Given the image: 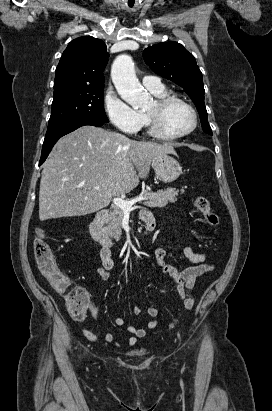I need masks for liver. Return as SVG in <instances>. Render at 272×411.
Wrapping results in <instances>:
<instances>
[{
    "label": "liver",
    "mask_w": 272,
    "mask_h": 411,
    "mask_svg": "<svg viewBox=\"0 0 272 411\" xmlns=\"http://www.w3.org/2000/svg\"><path fill=\"white\" fill-rule=\"evenodd\" d=\"M167 154H176L172 145L135 141L94 126L78 128L55 144L43 165L40 220L97 212L113 196L136 188L152 160Z\"/></svg>",
    "instance_id": "1"
}]
</instances>
